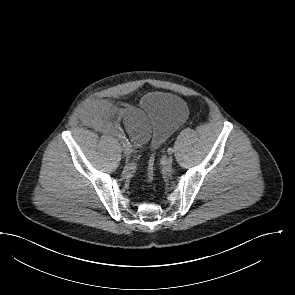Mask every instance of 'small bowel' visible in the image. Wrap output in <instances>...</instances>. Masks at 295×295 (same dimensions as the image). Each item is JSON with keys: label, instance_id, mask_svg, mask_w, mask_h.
<instances>
[{"label": "small bowel", "instance_id": "c3829d8e", "mask_svg": "<svg viewBox=\"0 0 295 295\" xmlns=\"http://www.w3.org/2000/svg\"><path fill=\"white\" fill-rule=\"evenodd\" d=\"M116 116L122 118L126 131L136 146H140L148 140L150 123L140 109L117 108L105 101H99L83 113V118L87 124L106 133L112 131V120Z\"/></svg>", "mask_w": 295, "mask_h": 295}]
</instances>
